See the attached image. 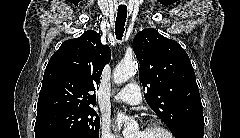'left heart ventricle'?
Instances as JSON below:
<instances>
[{
  "label": "left heart ventricle",
  "instance_id": "obj_1",
  "mask_svg": "<svg viewBox=\"0 0 240 138\" xmlns=\"http://www.w3.org/2000/svg\"><path fill=\"white\" fill-rule=\"evenodd\" d=\"M135 138H166L165 134L156 130H143L142 132H137Z\"/></svg>",
  "mask_w": 240,
  "mask_h": 138
}]
</instances>
